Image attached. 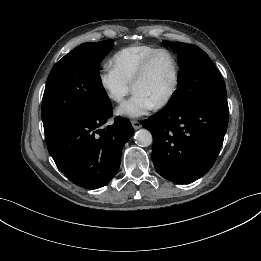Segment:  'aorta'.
<instances>
[{"label":"aorta","mask_w":261,"mask_h":261,"mask_svg":"<svg viewBox=\"0 0 261 261\" xmlns=\"http://www.w3.org/2000/svg\"><path fill=\"white\" fill-rule=\"evenodd\" d=\"M134 140L135 143L141 147H148L153 142L152 134L147 129H140L137 131L135 133Z\"/></svg>","instance_id":"1"}]
</instances>
